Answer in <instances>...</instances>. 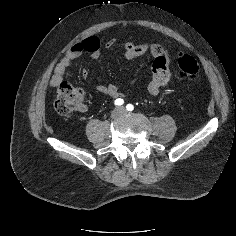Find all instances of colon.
Returning a JSON list of instances; mask_svg holds the SVG:
<instances>
[{
  "instance_id": "obj_1",
  "label": "colon",
  "mask_w": 236,
  "mask_h": 236,
  "mask_svg": "<svg viewBox=\"0 0 236 236\" xmlns=\"http://www.w3.org/2000/svg\"><path fill=\"white\" fill-rule=\"evenodd\" d=\"M178 69L182 78L195 79L199 74L200 66L194 57L183 55L178 60ZM85 96V92L80 88L68 83L60 84L55 102L57 113L65 118L72 117L81 107Z\"/></svg>"
}]
</instances>
